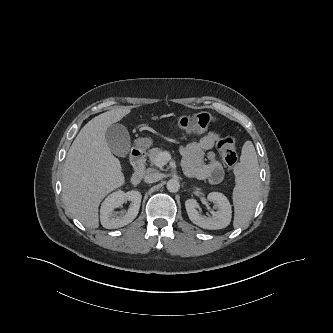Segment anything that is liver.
<instances>
[{"mask_svg":"<svg viewBox=\"0 0 333 333\" xmlns=\"http://www.w3.org/2000/svg\"><path fill=\"white\" fill-rule=\"evenodd\" d=\"M130 112V107L122 106L94 117L80 130L67 153L62 171L63 199L69 212L88 228H98L100 202L125 182L105 133Z\"/></svg>","mask_w":333,"mask_h":333,"instance_id":"liver-1","label":"liver"}]
</instances>
